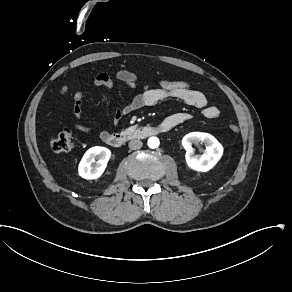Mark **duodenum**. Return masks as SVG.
Returning <instances> with one entry per match:
<instances>
[{"label":"duodenum","mask_w":292,"mask_h":292,"mask_svg":"<svg viewBox=\"0 0 292 292\" xmlns=\"http://www.w3.org/2000/svg\"><path fill=\"white\" fill-rule=\"evenodd\" d=\"M169 130H171L169 126L162 127L160 125L157 127L138 128L126 135L120 133L110 134L106 138V141L111 147L120 148L124 144L125 140L129 137L135 139H144L155 134L168 132Z\"/></svg>","instance_id":"duodenum-1"}]
</instances>
